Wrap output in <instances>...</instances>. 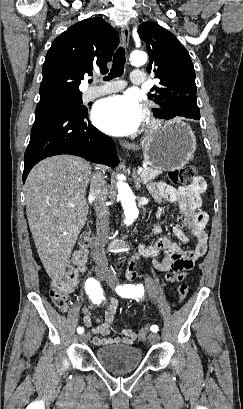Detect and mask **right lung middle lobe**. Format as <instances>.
<instances>
[{
    "label": "right lung middle lobe",
    "mask_w": 243,
    "mask_h": 409,
    "mask_svg": "<svg viewBox=\"0 0 243 409\" xmlns=\"http://www.w3.org/2000/svg\"><path fill=\"white\" fill-rule=\"evenodd\" d=\"M82 96L68 97V98H54L45 101H40L37 108L51 107L71 111H87V108L82 105ZM36 108V109H37Z\"/></svg>",
    "instance_id": "obj_1"
}]
</instances>
